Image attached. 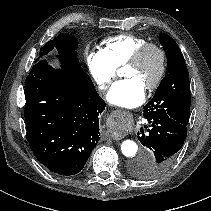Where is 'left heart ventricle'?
I'll return each instance as SVG.
<instances>
[{
	"instance_id": "obj_1",
	"label": "left heart ventricle",
	"mask_w": 211,
	"mask_h": 211,
	"mask_svg": "<svg viewBox=\"0 0 211 211\" xmlns=\"http://www.w3.org/2000/svg\"><path fill=\"white\" fill-rule=\"evenodd\" d=\"M159 70V56L151 51L145 55L140 63L128 65L124 68V74L128 78H136L146 88L153 82Z\"/></svg>"
}]
</instances>
